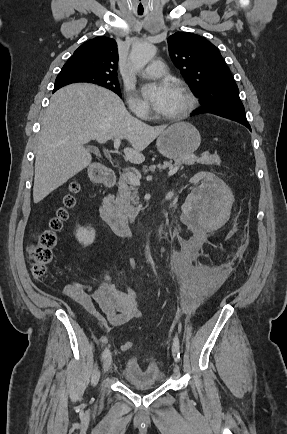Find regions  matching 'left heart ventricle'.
Segmentation results:
<instances>
[{
    "label": "left heart ventricle",
    "mask_w": 287,
    "mask_h": 434,
    "mask_svg": "<svg viewBox=\"0 0 287 434\" xmlns=\"http://www.w3.org/2000/svg\"><path fill=\"white\" fill-rule=\"evenodd\" d=\"M185 105H186V99L184 95L176 87H174V92L171 97V100L168 106L166 107V109L161 113L163 115H174L182 111Z\"/></svg>",
    "instance_id": "b2bd125f"
}]
</instances>
